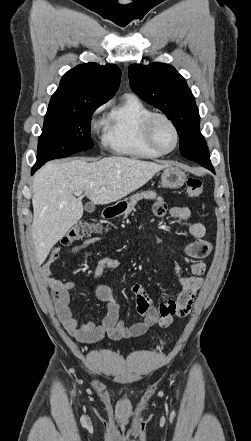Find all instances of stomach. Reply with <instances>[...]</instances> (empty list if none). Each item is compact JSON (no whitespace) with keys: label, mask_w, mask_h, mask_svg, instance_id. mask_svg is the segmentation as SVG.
Here are the masks:
<instances>
[{"label":"stomach","mask_w":251,"mask_h":441,"mask_svg":"<svg viewBox=\"0 0 251 441\" xmlns=\"http://www.w3.org/2000/svg\"><path fill=\"white\" fill-rule=\"evenodd\" d=\"M186 181V174L178 167L169 166L165 168L161 174V185L164 188L179 189ZM128 203L126 201H119L116 208L119 213H122Z\"/></svg>","instance_id":"0dacf381"}]
</instances>
